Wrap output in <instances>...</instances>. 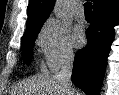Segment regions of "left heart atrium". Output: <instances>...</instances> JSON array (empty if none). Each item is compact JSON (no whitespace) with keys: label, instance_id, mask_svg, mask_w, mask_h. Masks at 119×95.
<instances>
[{"label":"left heart atrium","instance_id":"obj_1","mask_svg":"<svg viewBox=\"0 0 119 95\" xmlns=\"http://www.w3.org/2000/svg\"><path fill=\"white\" fill-rule=\"evenodd\" d=\"M84 33L80 28H76L73 33V41L76 46H81L84 43Z\"/></svg>","mask_w":119,"mask_h":95}]
</instances>
